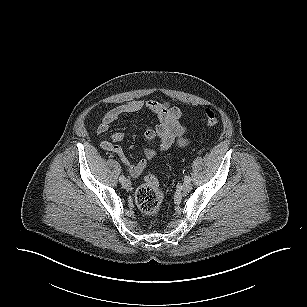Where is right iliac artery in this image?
<instances>
[{
  "label": "right iliac artery",
  "mask_w": 307,
  "mask_h": 307,
  "mask_svg": "<svg viewBox=\"0 0 307 307\" xmlns=\"http://www.w3.org/2000/svg\"><path fill=\"white\" fill-rule=\"evenodd\" d=\"M125 179H126V178H125L123 175L119 177V181H120V182H123Z\"/></svg>",
  "instance_id": "obj_1"
}]
</instances>
